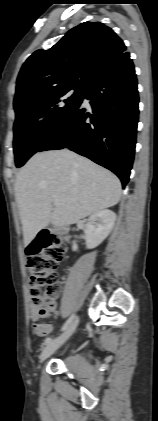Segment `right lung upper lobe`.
<instances>
[{"instance_id":"cb5924a9","label":"right lung upper lobe","mask_w":158,"mask_h":421,"mask_svg":"<svg viewBox=\"0 0 158 421\" xmlns=\"http://www.w3.org/2000/svg\"><path fill=\"white\" fill-rule=\"evenodd\" d=\"M126 53L116 33L100 22H84L49 50L35 51L17 78L14 105L32 95L84 87L105 65Z\"/></svg>"}]
</instances>
